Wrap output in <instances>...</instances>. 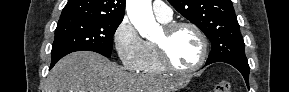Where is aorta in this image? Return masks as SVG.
I'll list each match as a JSON object with an SVG mask.
<instances>
[{
    "instance_id": "762f6f07",
    "label": "aorta",
    "mask_w": 289,
    "mask_h": 92,
    "mask_svg": "<svg viewBox=\"0 0 289 92\" xmlns=\"http://www.w3.org/2000/svg\"><path fill=\"white\" fill-rule=\"evenodd\" d=\"M126 10L131 23L142 37H149L158 29L151 0H127Z\"/></svg>"
}]
</instances>
